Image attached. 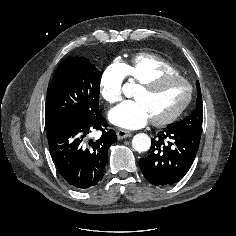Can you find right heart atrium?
Listing matches in <instances>:
<instances>
[{"label":"right heart atrium","mask_w":236,"mask_h":236,"mask_svg":"<svg viewBox=\"0 0 236 236\" xmlns=\"http://www.w3.org/2000/svg\"><path fill=\"white\" fill-rule=\"evenodd\" d=\"M126 75L127 68L119 60L113 61L103 70L99 80V91L107 102L115 104L122 100Z\"/></svg>","instance_id":"right-heart-atrium-1"}]
</instances>
